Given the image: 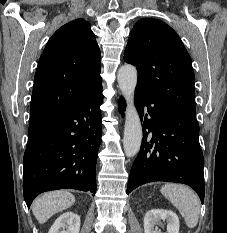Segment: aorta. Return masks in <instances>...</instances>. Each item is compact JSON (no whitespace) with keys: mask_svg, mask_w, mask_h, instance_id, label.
Here are the masks:
<instances>
[{"mask_svg":"<svg viewBox=\"0 0 227 233\" xmlns=\"http://www.w3.org/2000/svg\"><path fill=\"white\" fill-rule=\"evenodd\" d=\"M118 85L126 100L123 148L127 157L135 156L142 142V126L134 105V91L137 84V70L133 65H123L117 74Z\"/></svg>","mask_w":227,"mask_h":233,"instance_id":"obj_1","label":"aorta"}]
</instances>
